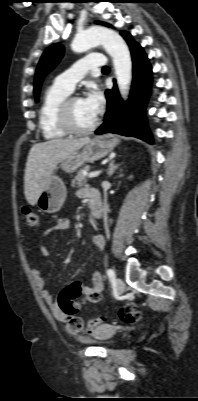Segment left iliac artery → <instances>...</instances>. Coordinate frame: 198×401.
Masks as SVG:
<instances>
[{"label":"left iliac artery","mask_w":198,"mask_h":401,"mask_svg":"<svg viewBox=\"0 0 198 401\" xmlns=\"http://www.w3.org/2000/svg\"><path fill=\"white\" fill-rule=\"evenodd\" d=\"M107 275L110 279H113L115 277V271L113 269H108Z\"/></svg>","instance_id":"left-iliac-artery-1"}]
</instances>
